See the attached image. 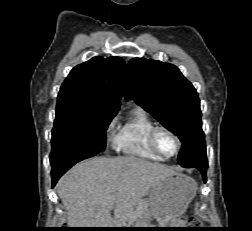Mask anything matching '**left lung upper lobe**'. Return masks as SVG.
<instances>
[{
	"instance_id": "obj_1",
	"label": "left lung upper lobe",
	"mask_w": 252,
	"mask_h": 231,
	"mask_svg": "<svg viewBox=\"0 0 252 231\" xmlns=\"http://www.w3.org/2000/svg\"><path fill=\"white\" fill-rule=\"evenodd\" d=\"M125 98L150 112L183 143L178 162H207L198 94L179 69L158 60L134 58L126 67Z\"/></svg>"
}]
</instances>
